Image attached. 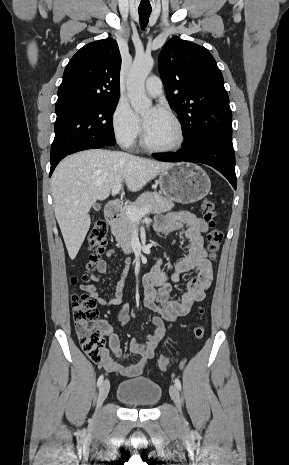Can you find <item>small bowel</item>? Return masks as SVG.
I'll return each mask as SVG.
<instances>
[{
    "mask_svg": "<svg viewBox=\"0 0 289 465\" xmlns=\"http://www.w3.org/2000/svg\"><path fill=\"white\" fill-rule=\"evenodd\" d=\"M154 229L164 235L173 231L184 229L185 237L189 245L184 254L175 264V271L168 274L162 268V262L158 260L151 271L144 275L142 279L145 308L157 312L161 315L152 320L153 331L145 335L144 341L133 338L129 342V350L141 357V360L135 365H123L117 361L121 357L120 339L114 332L113 327L105 321L100 322L102 331L108 337L109 351L105 349L103 357L99 363L109 372H117L125 377H133L142 373L146 361L154 357L155 350L165 335V326L163 320L173 322L177 317L184 316L190 312L196 302L202 301L212 283L211 264L207 259V252L204 246V234L207 232V224L200 217L189 212H168L156 218ZM107 257L113 259L115 250L110 249ZM114 261L111 260V264ZM126 265H130V258H126ZM109 264L99 259L91 274L95 282L101 278L94 273L97 271L101 274L106 273ZM189 271H194L196 275L190 279L187 290L181 295L180 299L173 296V284L178 282L180 276ZM127 275L124 270L115 287L112 298L103 297L97 287L90 284H82L81 288L86 295L95 299L101 306L109 307L112 305H122V308L116 316V321L124 325L129 321V306L123 300V282Z\"/></svg>",
    "mask_w": 289,
    "mask_h": 465,
    "instance_id": "c3829d8e",
    "label": "small bowel"
}]
</instances>
